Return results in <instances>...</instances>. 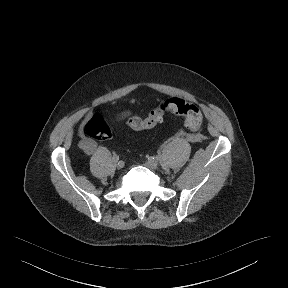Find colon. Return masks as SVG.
<instances>
[{"label": "colon", "mask_w": 288, "mask_h": 288, "mask_svg": "<svg viewBox=\"0 0 288 288\" xmlns=\"http://www.w3.org/2000/svg\"><path fill=\"white\" fill-rule=\"evenodd\" d=\"M166 111L172 112L185 119V126L190 131H197L203 120L201 109L190 102L179 97H172L161 102L152 109L146 118L131 117L127 120V126L134 131L144 130L155 126L162 121ZM84 131L90 139L105 142L112 137L110 127L101 114H96L85 124ZM93 148L91 143L87 144V149Z\"/></svg>", "instance_id": "1"}]
</instances>
